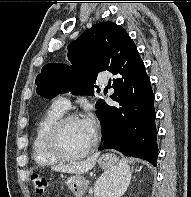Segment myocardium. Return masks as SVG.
Segmentation results:
<instances>
[{
    "label": "myocardium",
    "mask_w": 191,
    "mask_h": 197,
    "mask_svg": "<svg viewBox=\"0 0 191 197\" xmlns=\"http://www.w3.org/2000/svg\"><path fill=\"white\" fill-rule=\"evenodd\" d=\"M71 121H81L76 114H65L59 117L48 128L45 135V146L50 155L58 159L59 161H75L86 157L97 144V140L93 137L92 142L78 154L66 153L59 142V136L62 128Z\"/></svg>",
    "instance_id": "f54148a6"
}]
</instances>
